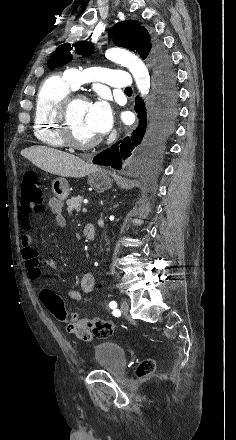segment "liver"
<instances>
[{
    "label": "liver",
    "instance_id": "1",
    "mask_svg": "<svg viewBox=\"0 0 236 440\" xmlns=\"http://www.w3.org/2000/svg\"><path fill=\"white\" fill-rule=\"evenodd\" d=\"M21 155L38 168L62 177L82 178L97 169L79 157L44 146L29 147Z\"/></svg>",
    "mask_w": 236,
    "mask_h": 440
}]
</instances>
